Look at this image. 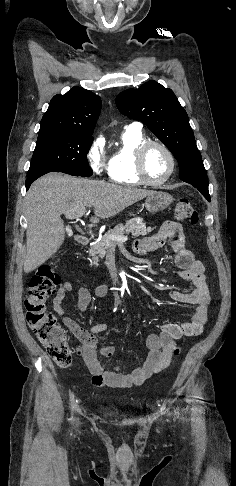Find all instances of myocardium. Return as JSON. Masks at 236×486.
Segmentation results:
<instances>
[{"label":"myocardium","mask_w":236,"mask_h":486,"mask_svg":"<svg viewBox=\"0 0 236 486\" xmlns=\"http://www.w3.org/2000/svg\"><path fill=\"white\" fill-rule=\"evenodd\" d=\"M152 146L160 147L166 153V155L169 159V162H170V168H169L168 173L166 174V176L164 178H162L161 180H158V181L151 180L147 176L146 171H145V155H146V152L148 151V149ZM134 157H135L134 164H135L136 175L139 178V180L143 184H146V185L161 186V185L165 184L173 176L175 169H176V159H175L173 152L171 151V149L166 144H164L161 141H157V140H146V141H144L143 143H141L137 147Z\"/></svg>","instance_id":"obj_1"}]
</instances>
